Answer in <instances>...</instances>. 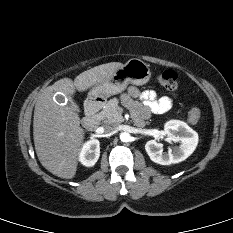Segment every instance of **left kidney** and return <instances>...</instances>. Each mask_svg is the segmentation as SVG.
Wrapping results in <instances>:
<instances>
[{
	"label": "left kidney",
	"instance_id": "obj_1",
	"mask_svg": "<svg viewBox=\"0 0 233 233\" xmlns=\"http://www.w3.org/2000/svg\"><path fill=\"white\" fill-rule=\"evenodd\" d=\"M164 133L168 142H180L179 147L163 152L161 143L150 140L145 145V150L150 159L160 165H170L184 161L196 149L198 134L185 122L180 120L168 121L164 126Z\"/></svg>",
	"mask_w": 233,
	"mask_h": 233
}]
</instances>
